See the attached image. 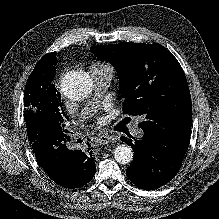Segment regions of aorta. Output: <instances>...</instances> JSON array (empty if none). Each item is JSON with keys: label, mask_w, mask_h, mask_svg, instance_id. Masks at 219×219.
<instances>
[{"label": "aorta", "mask_w": 219, "mask_h": 219, "mask_svg": "<svg viewBox=\"0 0 219 219\" xmlns=\"http://www.w3.org/2000/svg\"><path fill=\"white\" fill-rule=\"evenodd\" d=\"M63 94L71 100L85 99L92 90V82L84 72L67 75L61 84ZM134 157L133 150L128 145H119L114 150V158L120 164H129Z\"/></svg>", "instance_id": "1"}]
</instances>
